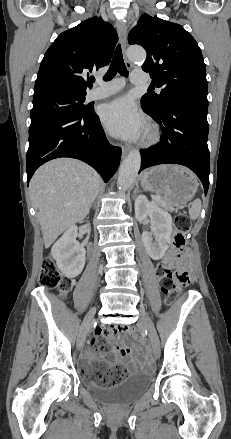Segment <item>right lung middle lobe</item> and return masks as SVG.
I'll list each match as a JSON object with an SVG mask.
<instances>
[{"mask_svg":"<svg viewBox=\"0 0 231 439\" xmlns=\"http://www.w3.org/2000/svg\"><path fill=\"white\" fill-rule=\"evenodd\" d=\"M86 94L50 93L33 98L31 124L65 114L86 113L91 107L84 105Z\"/></svg>","mask_w":231,"mask_h":439,"instance_id":"1","label":"right lung middle lobe"}]
</instances>
